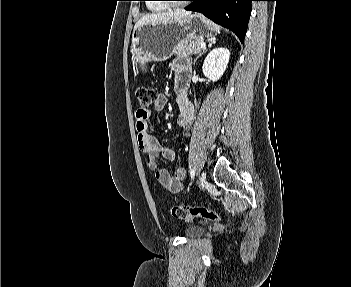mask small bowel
<instances>
[{
	"label": "small bowel",
	"mask_w": 351,
	"mask_h": 287,
	"mask_svg": "<svg viewBox=\"0 0 351 287\" xmlns=\"http://www.w3.org/2000/svg\"><path fill=\"white\" fill-rule=\"evenodd\" d=\"M171 70L176 78L175 88L177 91V103L180 109L178 125L189 131L194 119L195 109L187 96V77L189 72V63L185 59H176L171 65ZM167 96L158 93L153 102L152 109L139 108L136 111V130L140 149L146 156L148 167L153 171L155 178L159 183L170 192H179L183 189V180L185 178V169L177 165L173 172L170 173L165 168L158 166V159L163 157L167 160H174L175 150L171 147H163L159 141L151 134L149 129V118L152 111L160 112L167 105Z\"/></svg>",
	"instance_id": "obj_1"
}]
</instances>
